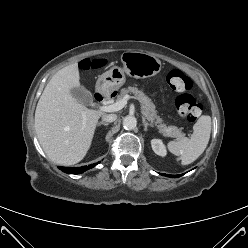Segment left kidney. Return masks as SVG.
Here are the masks:
<instances>
[{"label":"left kidney","instance_id":"5707ae66","mask_svg":"<svg viewBox=\"0 0 248 248\" xmlns=\"http://www.w3.org/2000/svg\"><path fill=\"white\" fill-rule=\"evenodd\" d=\"M151 146H152L153 151L157 155L162 156V157L166 156L167 151H166V147L163 144L162 140H160V139H153L151 141Z\"/></svg>","mask_w":248,"mask_h":248}]
</instances>
